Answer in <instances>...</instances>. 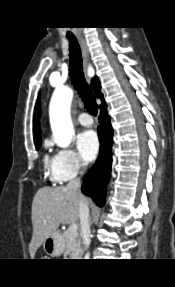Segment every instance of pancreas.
Here are the masks:
<instances>
[{"mask_svg": "<svg viewBox=\"0 0 175 287\" xmlns=\"http://www.w3.org/2000/svg\"><path fill=\"white\" fill-rule=\"evenodd\" d=\"M66 241V253L73 258H78L81 254V241L77 232L66 230L64 232Z\"/></svg>", "mask_w": 175, "mask_h": 287, "instance_id": "obj_1", "label": "pancreas"}]
</instances>
